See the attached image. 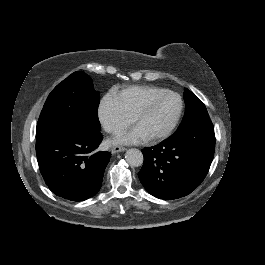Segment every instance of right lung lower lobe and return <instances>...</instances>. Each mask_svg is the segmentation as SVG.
Segmentation results:
<instances>
[{"label": "right lung lower lobe", "mask_w": 265, "mask_h": 265, "mask_svg": "<svg viewBox=\"0 0 265 265\" xmlns=\"http://www.w3.org/2000/svg\"><path fill=\"white\" fill-rule=\"evenodd\" d=\"M100 130L77 124H56L36 135V154L42 177L57 196L83 201L95 195L111 154L94 152Z\"/></svg>", "instance_id": "right-lung-lower-lobe-1"}]
</instances>
